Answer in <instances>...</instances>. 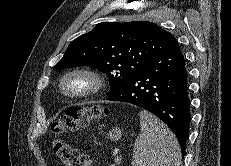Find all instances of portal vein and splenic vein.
<instances>
[{
    "mask_svg": "<svg viewBox=\"0 0 231 166\" xmlns=\"http://www.w3.org/2000/svg\"><path fill=\"white\" fill-rule=\"evenodd\" d=\"M121 160H122V158H121V156H116V158H115V161L117 162V163H121Z\"/></svg>",
    "mask_w": 231,
    "mask_h": 166,
    "instance_id": "obj_1",
    "label": "portal vein and splenic vein"
}]
</instances>
